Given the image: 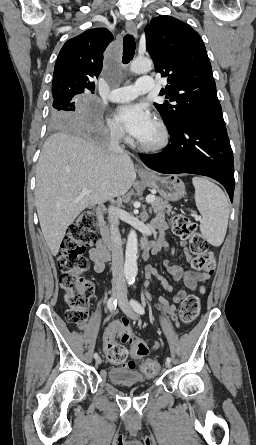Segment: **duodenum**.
I'll use <instances>...</instances> for the list:
<instances>
[{"label":"duodenum","instance_id":"obj_1","mask_svg":"<svg viewBox=\"0 0 256 445\" xmlns=\"http://www.w3.org/2000/svg\"><path fill=\"white\" fill-rule=\"evenodd\" d=\"M104 214H105V207L103 205H99L97 207V215H98V226L101 238L104 242V246L107 248V250H116L117 246L113 242L107 228L104 222ZM151 242L147 238H143L140 242V246L142 249H146L149 246H151ZM148 256L147 254H144L143 259L147 260Z\"/></svg>","mask_w":256,"mask_h":445}]
</instances>
